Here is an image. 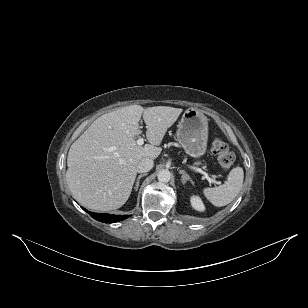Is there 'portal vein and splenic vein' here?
Listing matches in <instances>:
<instances>
[{"mask_svg":"<svg viewBox=\"0 0 308 308\" xmlns=\"http://www.w3.org/2000/svg\"><path fill=\"white\" fill-rule=\"evenodd\" d=\"M137 145H143L144 144V139L142 137H140L137 141H136ZM192 169H194L196 172H199L201 174L204 175V178H206L209 183H217V184H220V182H217L215 179H212L209 177V175L204 172L203 170H201L200 168H193L191 167Z\"/></svg>","mask_w":308,"mask_h":308,"instance_id":"1","label":"portal vein and splenic vein"}]
</instances>
